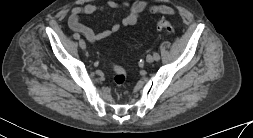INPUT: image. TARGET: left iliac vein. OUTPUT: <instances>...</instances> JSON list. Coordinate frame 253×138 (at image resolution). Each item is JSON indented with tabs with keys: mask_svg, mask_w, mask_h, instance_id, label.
<instances>
[{
	"mask_svg": "<svg viewBox=\"0 0 253 138\" xmlns=\"http://www.w3.org/2000/svg\"><path fill=\"white\" fill-rule=\"evenodd\" d=\"M155 58H154V55L153 54H148L147 57H146V61L148 63H152L154 62Z\"/></svg>",
	"mask_w": 253,
	"mask_h": 138,
	"instance_id": "4c4485c4",
	"label": "left iliac vein"
}]
</instances>
